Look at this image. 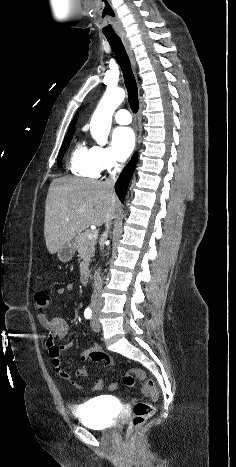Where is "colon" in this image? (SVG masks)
<instances>
[{
	"mask_svg": "<svg viewBox=\"0 0 236 467\" xmlns=\"http://www.w3.org/2000/svg\"><path fill=\"white\" fill-rule=\"evenodd\" d=\"M36 309L38 312H44L51 304V298L47 291L37 290L35 292ZM91 358L96 361H102L106 358L104 352H94ZM143 383L144 388L150 393L153 400L158 397V390L154 381L146 374L145 371L139 368H130L123 376V383L127 387H133L136 381ZM154 414V406L151 403L139 401L133 406V416L125 429V437L128 439L133 432L145 424V422Z\"/></svg>",
	"mask_w": 236,
	"mask_h": 467,
	"instance_id": "1",
	"label": "colon"
}]
</instances>
